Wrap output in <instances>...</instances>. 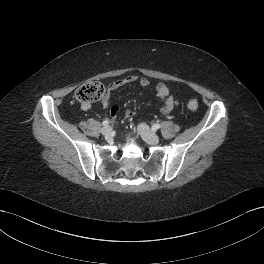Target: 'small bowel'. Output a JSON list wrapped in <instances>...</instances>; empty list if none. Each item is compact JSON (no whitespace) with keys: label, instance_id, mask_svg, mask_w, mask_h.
<instances>
[{"label":"small bowel","instance_id":"1","mask_svg":"<svg viewBox=\"0 0 264 264\" xmlns=\"http://www.w3.org/2000/svg\"><path fill=\"white\" fill-rule=\"evenodd\" d=\"M134 82L142 88L149 86V81L146 78L130 75L109 83L107 90L108 92H111ZM156 94L162 101L161 112L163 114L172 112L178 106V100L171 94L170 89L165 84L160 83L156 86ZM102 105L105 108L110 106V96L108 93L102 99ZM82 108L83 110H89L91 105L83 104ZM121 112L122 110L119 106H113L110 110V114L113 117L118 116Z\"/></svg>","mask_w":264,"mask_h":264}]
</instances>
